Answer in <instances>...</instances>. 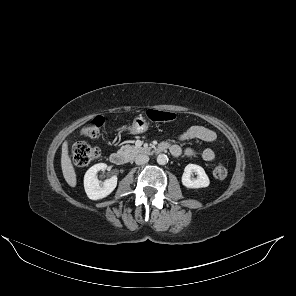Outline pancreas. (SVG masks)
Listing matches in <instances>:
<instances>
[{"label":"pancreas","mask_w":296,"mask_h":296,"mask_svg":"<svg viewBox=\"0 0 296 296\" xmlns=\"http://www.w3.org/2000/svg\"><path fill=\"white\" fill-rule=\"evenodd\" d=\"M143 148H138L134 145H125L119 149V152L123 153L127 157H134L138 153L142 152Z\"/></svg>","instance_id":"pancreas-1"}]
</instances>
